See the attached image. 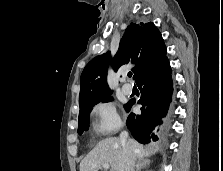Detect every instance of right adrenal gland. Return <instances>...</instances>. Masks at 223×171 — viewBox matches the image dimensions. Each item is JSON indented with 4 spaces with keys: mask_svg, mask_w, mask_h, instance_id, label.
Here are the masks:
<instances>
[{
    "mask_svg": "<svg viewBox=\"0 0 223 171\" xmlns=\"http://www.w3.org/2000/svg\"><path fill=\"white\" fill-rule=\"evenodd\" d=\"M149 164H150V161H149V160L139 161V162L137 163V165H136V168H137L136 171H140V169H141L142 167H145V166H147V165H149Z\"/></svg>",
    "mask_w": 223,
    "mask_h": 171,
    "instance_id": "obj_1",
    "label": "right adrenal gland"
}]
</instances>
